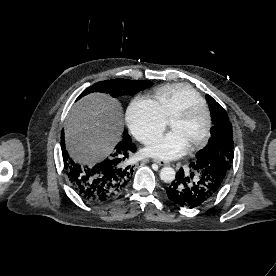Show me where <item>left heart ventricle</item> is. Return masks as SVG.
<instances>
[{
    "label": "left heart ventricle",
    "mask_w": 276,
    "mask_h": 276,
    "mask_svg": "<svg viewBox=\"0 0 276 276\" xmlns=\"http://www.w3.org/2000/svg\"><path fill=\"white\" fill-rule=\"evenodd\" d=\"M206 118L203 113H198L189 120H175L170 122L172 131H177L186 140L189 147L194 145L203 135Z\"/></svg>",
    "instance_id": "b2bd125f"
}]
</instances>
